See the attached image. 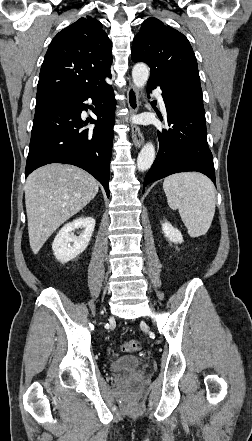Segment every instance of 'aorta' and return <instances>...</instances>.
Segmentation results:
<instances>
[{
  "label": "aorta",
  "instance_id": "762f6f07",
  "mask_svg": "<svg viewBox=\"0 0 252 441\" xmlns=\"http://www.w3.org/2000/svg\"><path fill=\"white\" fill-rule=\"evenodd\" d=\"M149 78V69L146 64L138 63L133 67L132 80L137 88H143ZM155 159V148L152 143H146L137 157V168L139 171L148 170Z\"/></svg>",
  "mask_w": 252,
  "mask_h": 441
}]
</instances>
